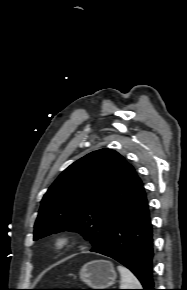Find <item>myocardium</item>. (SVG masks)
<instances>
[{
    "label": "myocardium",
    "mask_w": 187,
    "mask_h": 290,
    "mask_svg": "<svg viewBox=\"0 0 187 290\" xmlns=\"http://www.w3.org/2000/svg\"><path fill=\"white\" fill-rule=\"evenodd\" d=\"M71 236L67 232L56 234L52 240V248L55 251H62L71 244Z\"/></svg>",
    "instance_id": "myocardium-1"
}]
</instances>
